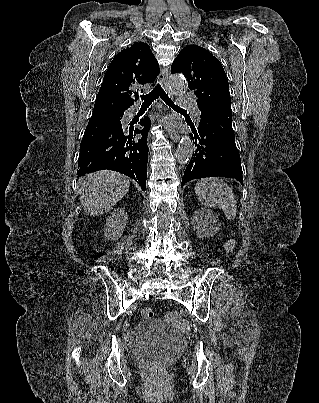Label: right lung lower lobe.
Segmentation results:
<instances>
[{
    "label": "right lung lower lobe",
    "mask_w": 319,
    "mask_h": 403,
    "mask_svg": "<svg viewBox=\"0 0 319 403\" xmlns=\"http://www.w3.org/2000/svg\"><path fill=\"white\" fill-rule=\"evenodd\" d=\"M124 111L91 116L80 145L78 176L110 169L121 172L146 188L148 117L136 121L129 132L122 127ZM143 127V129L141 128Z\"/></svg>",
    "instance_id": "1"
}]
</instances>
